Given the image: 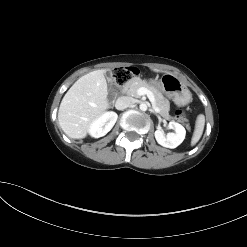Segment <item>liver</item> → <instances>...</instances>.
I'll return each mask as SVG.
<instances>
[{
	"label": "liver",
	"instance_id": "obj_1",
	"mask_svg": "<svg viewBox=\"0 0 247 247\" xmlns=\"http://www.w3.org/2000/svg\"><path fill=\"white\" fill-rule=\"evenodd\" d=\"M105 72L104 69L95 70L82 76L63 97L58 122L68 137L85 138L91 122L109 108Z\"/></svg>",
	"mask_w": 247,
	"mask_h": 247
}]
</instances>
